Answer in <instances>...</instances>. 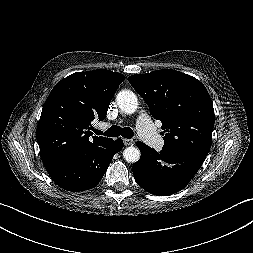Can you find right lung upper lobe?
Here are the masks:
<instances>
[{
	"instance_id": "right-lung-upper-lobe-1",
	"label": "right lung upper lobe",
	"mask_w": 253,
	"mask_h": 253,
	"mask_svg": "<svg viewBox=\"0 0 253 253\" xmlns=\"http://www.w3.org/2000/svg\"><path fill=\"white\" fill-rule=\"evenodd\" d=\"M124 79L121 73L105 69L77 72L52 89L36 131L45 166L87 154L112 140L92 136L91 122L106 118L109 103Z\"/></svg>"
}]
</instances>
